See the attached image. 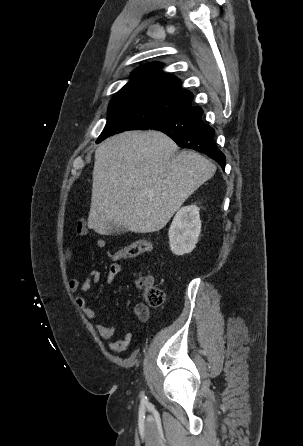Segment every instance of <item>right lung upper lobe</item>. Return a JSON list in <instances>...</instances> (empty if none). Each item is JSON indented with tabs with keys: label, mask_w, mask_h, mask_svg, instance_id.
<instances>
[{
	"label": "right lung upper lobe",
	"mask_w": 303,
	"mask_h": 446,
	"mask_svg": "<svg viewBox=\"0 0 303 446\" xmlns=\"http://www.w3.org/2000/svg\"><path fill=\"white\" fill-rule=\"evenodd\" d=\"M161 66L150 63L135 69L134 78L112 98L110 105L164 110L174 99H186L191 105L192 93L181 88L178 78L160 71Z\"/></svg>",
	"instance_id": "obj_1"
}]
</instances>
